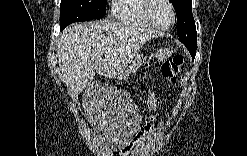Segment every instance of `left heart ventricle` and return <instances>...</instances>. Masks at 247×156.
Segmentation results:
<instances>
[{
    "instance_id": "b2bd125f",
    "label": "left heart ventricle",
    "mask_w": 247,
    "mask_h": 156,
    "mask_svg": "<svg viewBox=\"0 0 247 156\" xmlns=\"http://www.w3.org/2000/svg\"><path fill=\"white\" fill-rule=\"evenodd\" d=\"M152 19L159 25H168L172 21V14L168 5L163 1H156L151 10Z\"/></svg>"
}]
</instances>
